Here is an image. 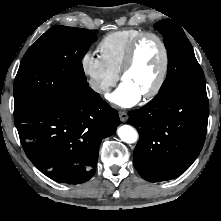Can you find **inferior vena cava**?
<instances>
[{"label": "inferior vena cava", "mask_w": 221, "mask_h": 221, "mask_svg": "<svg viewBox=\"0 0 221 221\" xmlns=\"http://www.w3.org/2000/svg\"><path fill=\"white\" fill-rule=\"evenodd\" d=\"M91 88L97 92L108 91L109 89L105 84L95 81L91 82Z\"/></svg>", "instance_id": "1"}]
</instances>
